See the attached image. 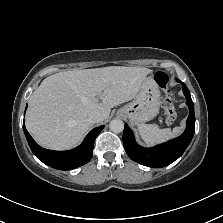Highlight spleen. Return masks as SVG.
<instances>
[{
  "mask_svg": "<svg viewBox=\"0 0 223 223\" xmlns=\"http://www.w3.org/2000/svg\"><path fill=\"white\" fill-rule=\"evenodd\" d=\"M184 125L181 127H175L171 131L170 128L159 129L155 124H140L138 125V131L143 141L148 145H154L167 141L179 133H181Z\"/></svg>",
  "mask_w": 223,
  "mask_h": 223,
  "instance_id": "spleen-1",
  "label": "spleen"
}]
</instances>
